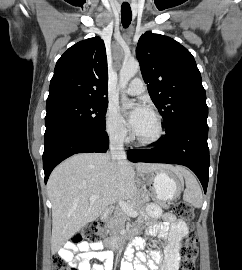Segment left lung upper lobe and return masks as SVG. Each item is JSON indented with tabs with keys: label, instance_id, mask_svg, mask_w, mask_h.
<instances>
[{
	"label": "left lung upper lobe",
	"instance_id": "obj_1",
	"mask_svg": "<svg viewBox=\"0 0 242 270\" xmlns=\"http://www.w3.org/2000/svg\"><path fill=\"white\" fill-rule=\"evenodd\" d=\"M136 55L166 132L187 120H207L201 74L185 47L170 37L147 31L138 41Z\"/></svg>",
	"mask_w": 242,
	"mask_h": 270
}]
</instances>
